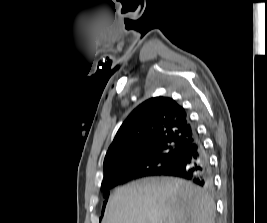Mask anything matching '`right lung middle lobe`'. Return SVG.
<instances>
[{
  "label": "right lung middle lobe",
  "mask_w": 267,
  "mask_h": 223,
  "mask_svg": "<svg viewBox=\"0 0 267 223\" xmlns=\"http://www.w3.org/2000/svg\"><path fill=\"white\" fill-rule=\"evenodd\" d=\"M181 153L182 151L176 146H162L159 147L156 152L148 155L144 159L137 160L132 167L139 172L155 174L168 168ZM104 197L106 203L109 197V192L104 193Z\"/></svg>",
  "instance_id": "1"
}]
</instances>
